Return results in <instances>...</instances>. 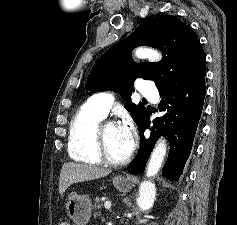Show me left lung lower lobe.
<instances>
[{
	"mask_svg": "<svg viewBox=\"0 0 237 225\" xmlns=\"http://www.w3.org/2000/svg\"><path fill=\"white\" fill-rule=\"evenodd\" d=\"M204 78L205 76L172 91L159 92L161 100L158 109L166 113L162 117L155 118L153 126H150L149 113L151 112H146L141 120L138 125L141 136L140 149L127 168L129 173L136 175L144 171L156 140L159 136L166 135L170 143V151L167 162L162 168V175L171 181L180 178L189 158L203 109L206 94ZM146 129L151 130L149 138L144 137Z\"/></svg>",
	"mask_w": 237,
	"mask_h": 225,
	"instance_id": "left-lung-lower-lobe-1",
	"label": "left lung lower lobe"
}]
</instances>
